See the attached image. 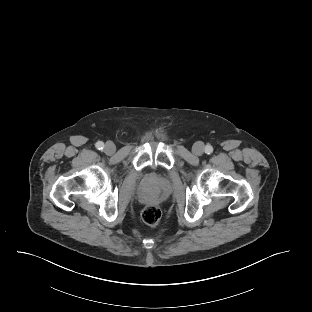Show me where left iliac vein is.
Returning <instances> with one entry per match:
<instances>
[{
    "instance_id": "left-iliac-vein-1",
    "label": "left iliac vein",
    "mask_w": 312,
    "mask_h": 312,
    "mask_svg": "<svg viewBox=\"0 0 312 312\" xmlns=\"http://www.w3.org/2000/svg\"><path fill=\"white\" fill-rule=\"evenodd\" d=\"M192 151L195 155L201 156L204 153V145L202 142H196L193 147Z\"/></svg>"
}]
</instances>
